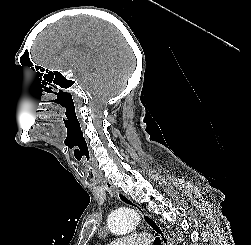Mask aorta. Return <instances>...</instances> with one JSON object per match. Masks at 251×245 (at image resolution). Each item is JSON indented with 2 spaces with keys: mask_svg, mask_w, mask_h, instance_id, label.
Here are the masks:
<instances>
[{
  "mask_svg": "<svg viewBox=\"0 0 251 245\" xmlns=\"http://www.w3.org/2000/svg\"><path fill=\"white\" fill-rule=\"evenodd\" d=\"M138 223V214L131 208H119L108 217V227L116 235H125L134 231Z\"/></svg>",
  "mask_w": 251,
  "mask_h": 245,
  "instance_id": "762f6f07",
  "label": "aorta"
}]
</instances>
